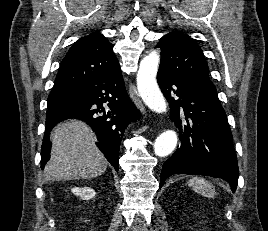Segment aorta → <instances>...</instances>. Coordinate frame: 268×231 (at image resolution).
<instances>
[{
  "instance_id": "1",
  "label": "aorta",
  "mask_w": 268,
  "mask_h": 231,
  "mask_svg": "<svg viewBox=\"0 0 268 231\" xmlns=\"http://www.w3.org/2000/svg\"><path fill=\"white\" fill-rule=\"evenodd\" d=\"M159 62L160 55L155 50L142 59L137 72V88L140 97L149 109L156 113H165L166 101L156 81ZM176 145V132L165 130L155 140L154 152L159 157H165L173 152Z\"/></svg>"
}]
</instances>
